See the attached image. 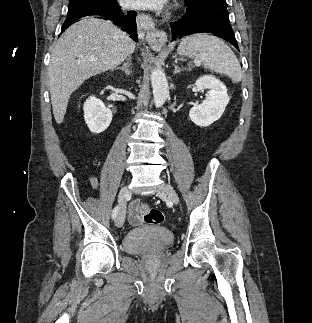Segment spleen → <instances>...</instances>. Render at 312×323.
Listing matches in <instances>:
<instances>
[{
    "label": "spleen",
    "mask_w": 312,
    "mask_h": 323,
    "mask_svg": "<svg viewBox=\"0 0 312 323\" xmlns=\"http://www.w3.org/2000/svg\"><path fill=\"white\" fill-rule=\"evenodd\" d=\"M179 56L194 58L195 64H204L218 74H226L233 82H241V66L231 48L216 36L192 34L182 38L177 50Z\"/></svg>",
    "instance_id": "spleen-1"
}]
</instances>
